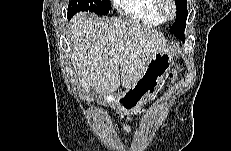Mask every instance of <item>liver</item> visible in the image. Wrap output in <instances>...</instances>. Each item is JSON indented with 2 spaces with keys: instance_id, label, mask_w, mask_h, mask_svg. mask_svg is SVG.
Here are the masks:
<instances>
[{
  "instance_id": "1",
  "label": "liver",
  "mask_w": 231,
  "mask_h": 151,
  "mask_svg": "<svg viewBox=\"0 0 231 151\" xmlns=\"http://www.w3.org/2000/svg\"><path fill=\"white\" fill-rule=\"evenodd\" d=\"M67 38L79 85L93 87L101 97L112 95L120 84L129 89L155 54H172L175 49L154 28L86 12L70 20Z\"/></svg>"
}]
</instances>
